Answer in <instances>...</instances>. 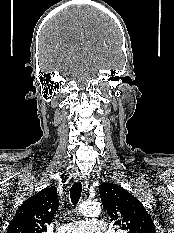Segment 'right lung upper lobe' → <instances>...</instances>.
<instances>
[{
    "mask_svg": "<svg viewBox=\"0 0 174 233\" xmlns=\"http://www.w3.org/2000/svg\"><path fill=\"white\" fill-rule=\"evenodd\" d=\"M59 207L57 188L47 187L28 198L11 220L7 233H44Z\"/></svg>",
    "mask_w": 174,
    "mask_h": 233,
    "instance_id": "cb5924a9",
    "label": "right lung upper lobe"
}]
</instances>
